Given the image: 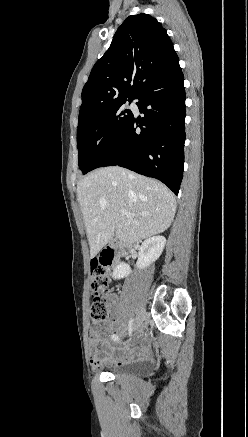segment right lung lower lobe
<instances>
[{
	"mask_svg": "<svg viewBox=\"0 0 248 437\" xmlns=\"http://www.w3.org/2000/svg\"><path fill=\"white\" fill-rule=\"evenodd\" d=\"M184 76L177 54L134 99L142 119L126 126L113 145L93 164L121 166L159 179L178 194L183 177L185 142ZM140 132H136L137 128Z\"/></svg>",
	"mask_w": 248,
	"mask_h": 437,
	"instance_id": "obj_1",
	"label": "right lung lower lobe"
}]
</instances>
